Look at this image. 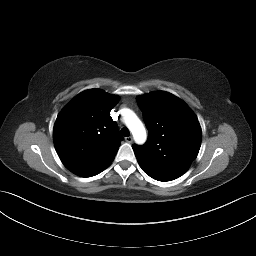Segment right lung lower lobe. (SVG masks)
<instances>
[{
	"instance_id": "98d812e1",
	"label": "right lung lower lobe",
	"mask_w": 256,
	"mask_h": 256,
	"mask_svg": "<svg viewBox=\"0 0 256 256\" xmlns=\"http://www.w3.org/2000/svg\"><path fill=\"white\" fill-rule=\"evenodd\" d=\"M110 164L106 165V166H103V167H100L98 169H95V170H91V171H87V172H84L82 174H80L79 176H82V177H91V176H94V175H97L99 174L100 172H102L104 169H106Z\"/></svg>"
}]
</instances>
